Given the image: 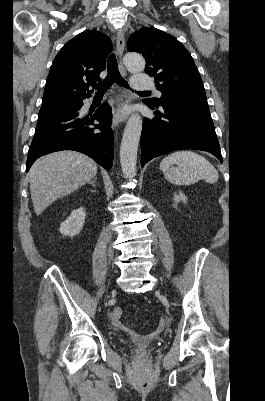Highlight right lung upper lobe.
<instances>
[{
	"instance_id": "cb5924a9",
	"label": "right lung upper lobe",
	"mask_w": 265,
	"mask_h": 401,
	"mask_svg": "<svg viewBox=\"0 0 265 401\" xmlns=\"http://www.w3.org/2000/svg\"><path fill=\"white\" fill-rule=\"evenodd\" d=\"M111 50L110 38L95 30H86L66 43L50 68L42 105L90 97L89 86L101 80L99 74Z\"/></svg>"
}]
</instances>
